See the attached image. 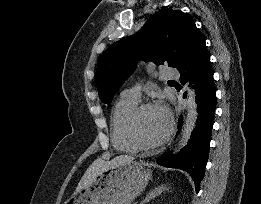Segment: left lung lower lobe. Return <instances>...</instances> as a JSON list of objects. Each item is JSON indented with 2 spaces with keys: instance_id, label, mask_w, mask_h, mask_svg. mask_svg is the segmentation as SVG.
Segmentation results:
<instances>
[{
  "instance_id": "0a47b994",
  "label": "left lung lower lobe",
  "mask_w": 261,
  "mask_h": 204,
  "mask_svg": "<svg viewBox=\"0 0 261 204\" xmlns=\"http://www.w3.org/2000/svg\"><path fill=\"white\" fill-rule=\"evenodd\" d=\"M177 69L181 74L180 82L182 84L188 80L194 84L199 115L188 145L177 154H172V152L163 154L157 159V163L188 172L195 182L196 191L199 192L209 156L211 130L216 108V89L210 54L205 45V38L200 32L194 36ZM182 124L183 118L180 116L178 128H181Z\"/></svg>"
}]
</instances>
